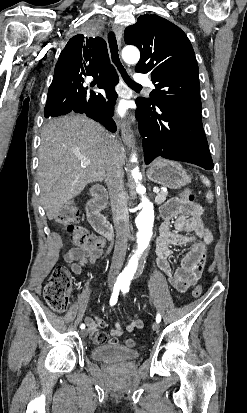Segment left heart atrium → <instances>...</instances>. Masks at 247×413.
<instances>
[{
	"instance_id": "obj_1",
	"label": "left heart atrium",
	"mask_w": 247,
	"mask_h": 413,
	"mask_svg": "<svg viewBox=\"0 0 247 413\" xmlns=\"http://www.w3.org/2000/svg\"><path fill=\"white\" fill-rule=\"evenodd\" d=\"M117 112L120 115H123L125 113V105L123 103L118 104L117 106Z\"/></svg>"
}]
</instances>
